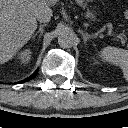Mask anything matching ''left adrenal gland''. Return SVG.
<instances>
[{"instance_id":"obj_1","label":"left adrenal gland","mask_w":128,"mask_h":128,"mask_svg":"<svg viewBox=\"0 0 128 128\" xmlns=\"http://www.w3.org/2000/svg\"><path fill=\"white\" fill-rule=\"evenodd\" d=\"M79 32L82 34V36H83V41H84L85 44H86V42H87L89 39L92 38L91 35H89L88 33L83 32L82 30H79Z\"/></svg>"}]
</instances>
